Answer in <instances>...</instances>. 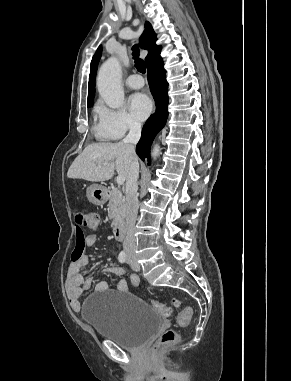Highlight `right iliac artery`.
Wrapping results in <instances>:
<instances>
[{"label": "right iliac artery", "instance_id": "right-iliac-artery-1", "mask_svg": "<svg viewBox=\"0 0 291 381\" xmlns=\"http://www.w3.org/2000/svg\"><path fill=\"white\" fill-rule=\"evenodd\" d=\"M119 262L125 263L126 262V253L124 251H121L118 256Z\"/></svg>", "mask_w": 291, "mask_h": 381}]
</instances>
